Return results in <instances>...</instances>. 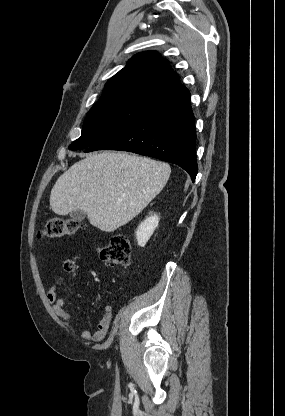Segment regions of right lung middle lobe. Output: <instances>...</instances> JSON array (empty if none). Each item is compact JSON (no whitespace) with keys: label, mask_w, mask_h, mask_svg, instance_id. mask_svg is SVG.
<instances>
[{"label":"right lung middle lobe","mask_w":285,"mask_h":416,"mask_svg":"<svg viewBox=\"0 0 285 416\" xmlns=\"http://www.w3.org/2000/svg\"><path fill=\"white\" fill-rule=\"evenodd\" d=\"M161 108L156 103L133 95L97 102L85 119L81 137L69 149L90 147Z\"/></svg>","instance_id":"obj_1"}]
</instances>
